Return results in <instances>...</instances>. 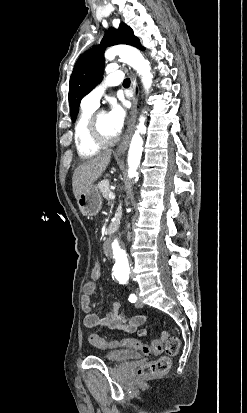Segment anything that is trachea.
<instances>
[{"instance_id": "obj_1", "label": "trachea", "mask_w": 247, "mask_h": 413, "mask_svg": "<svg viewBox=\"0 0 247 413\" xmlns=\"http://www.w3.org/2000/svg\"><path fill=\"white\" fill-rule=\"evenodd\" d=\"M130 85V78H125V80L123 81V86L125 88H128Z\"/></svg>"}]
</instances>
